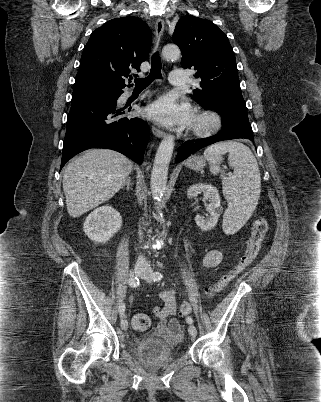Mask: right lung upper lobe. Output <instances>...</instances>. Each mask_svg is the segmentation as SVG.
<instances>
[{"label": "right lung upper lobe", "instance_id": "right-lung-upper-lobe-1", "mask_svg": "<svg viewBox=\"0 0 321 402\" xmlns=\"http://www.w3.org/2000/svg\"><path fill=\"white\" fill-rule=\"evenodd\" d=\"M150 46L151 30L141 19L128 16L106 22L91 34L84 47L75 85L124 88V78L131 77L132 68L140 71Z\"/></svg>", "mask_w": 321, "mask_h": 402}]
</instances>
